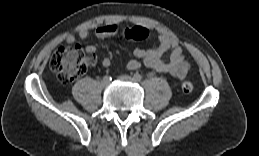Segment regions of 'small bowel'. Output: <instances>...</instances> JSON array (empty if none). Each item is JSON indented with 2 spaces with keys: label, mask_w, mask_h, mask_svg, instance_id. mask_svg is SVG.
<instances>
[{
  "label": "small bowel",
  "mask_w": 259,
  "mask_h": 156,
  "mask_svg": "<svg viewBox=\"0 0 259 156\" xmlns=\"http://www.w3.org/2000/svg\"><path fill=\"white\" fill-rule=\"evenodd\" d=\"M124 30V28L117 24H106L98 27L95 34L98 38L105 39L117 37ZM78 36L80 39L86 40L89 38L90 32L87 29H82ZM75 40L76 37L74 35H69L67 37L68 43H73ZM85 50L91 55L90 61L95 62L97 60V47L94 45H87ZM166 54H169L167 60L165 59ZM134 56L137 59L130 60L127 64L129 70H137L144 65L157 72L168 73L178 80L184 79L190 70V64L185 59L182 47L175 38L168 35H160L158 37V44L154 48L135 49ZM102 64L105 67H109L111 61L108 57L103 56Z\"/></svg>",
  "instance_id": "1"
}]
</instances>
